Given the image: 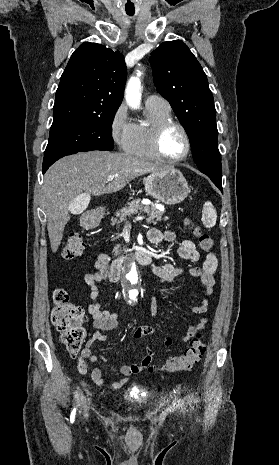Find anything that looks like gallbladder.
<instances>
[{
  "mask_svg": "<svg viewBox=\"0 0 279 465\" xmlns=\"http://www.w3.org/2000/svg\"><path fill=\"white\" fill-rule=\"evenodd\" d=\"M86 207V201L83 199L81 196L76 197L74 200L71 202V209L73 211V214H81Z\"/></svg>",
  "mask_w": 279,
  "mask_h": 465,
  "instance_id": "obj_1",
  "label": "gallbladder"
}]
</instances>
